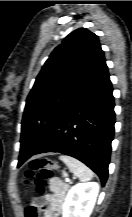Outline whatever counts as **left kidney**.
Returning <instances> with one entry per match:
<instances>
[{"mask_svg": "<svg viewBox=\"0 0 132 217\" xmlns=\"http://www.w3.org/2000/svg\"><path fill=\"white\" fill-rule=\"evenodd\" d=\"M99 192L96 182L79 183L68 192L63 205V217H89Z\"/></svg>", "mask_w": 132, "mask_h": 217, "instance_id": "obj_1", "label": "left kidney"}]
</instances>
